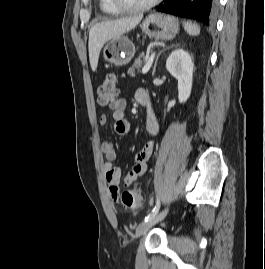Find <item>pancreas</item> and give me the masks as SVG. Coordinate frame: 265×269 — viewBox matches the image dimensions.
Masks as SVG:
<instances>
[{"label":"pancreas","instance_id":"pancreas-1","mask_svg":"<svg viewBox=\"0 0 265 269\" xmlns=\"http://www.w3.org/2000/svg\"><path fill=\"white\" fill-rule=\"evenodd\" d=\"M143 58V54H140L139 57L135 60L134 64L132 65L131 68H129L128 70V74L133 76L135 75L136 71H139L140 68H142L144 60Z\"/></svg>","mask_w":265,"mask_h":269}]
</instances>
